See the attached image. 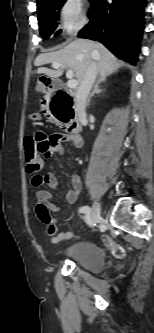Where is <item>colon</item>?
<instances>
[{
    "label": "colon",
    "instance_id": "5ec220e1",
    "mask_svg": "<svg viewBox=\"0 0 154 333\" xmlns=\"http://www.w3.org/2000/svg\"><path fill=\"white\" fill-rule=\"evenodd\" d=\"M71 100L72 98L67 93H58L54 96L51 106L52 108H66L71 103ZM56 119L65 131L71 132L68 126V117L59 116ZM23 149L27 170L29 172L37 171L40 167V159L35 138L27 136L23 142ZM49 231L53 234L54 228L50 227ZM103 242L116 258L121 259L124 257L125 251L123 247L116 243L111 237L104 236Z\"/></svg>",
    "mask_w": 154,
    "mask_h": 333
}]
</instances>
